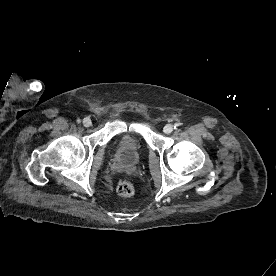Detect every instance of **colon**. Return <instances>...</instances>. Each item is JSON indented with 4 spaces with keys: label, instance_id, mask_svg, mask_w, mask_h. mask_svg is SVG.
<instances>
[{
    "label": "colon",
    "instance_id": "obj_1",
    "mask_svg": "<svg viewBox=\"0 0 276 276\" xmlns=\"http://www.w3.org/2000/svg\"><path fill=\"white\" fill-rule=\"evenodd\" d=\"M116 190L117 193L122 197H131L135 192L133 184L128 180H121L118 183Z\"/></svg>",
    "mask_w": 276,
    "mask_h": 276
}]
</instances>
